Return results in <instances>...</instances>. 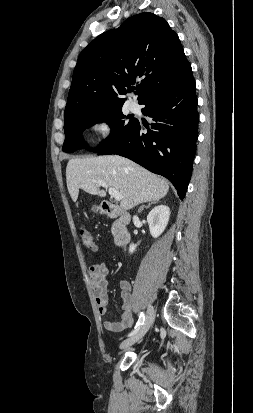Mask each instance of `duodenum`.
Here are the masks:
<instances>
[{"label":"duodenum","mask_w":253,"mask_h":413,"mask_svg":"<svg viewBox=\"0 0 253 413\" xmlns=\"http://www.w3.org/2000/svg\"><path fill=\"white\" fill-rule=\"evenodd\" d=\"M103 212L114 219V242L121 248H126L130 241V233L127 225L130 222L129 214L120 207L109 203H102Z\"/></svg>","instance_id":"1"}]
</instances>
